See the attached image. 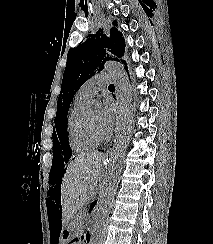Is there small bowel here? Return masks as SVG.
Segmentation results:
<instances>
[{
  "label": "small bowel",
  "mask_w": 213,
  "mask_h": 244,
  "mask_svg": "<svg viewBox=\"0 0 213 244\" xmlns=\"http://www.w3.org/2000/svg\"><path fill=\"white\" fill-rule=\"evenodd\" d=\"M70 244H88L85 240H74Z\"/></svg>",
  "instance_id": "small-bowel-1"
}]
</instances>
